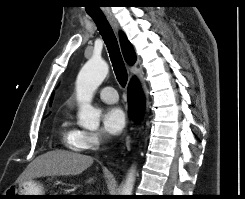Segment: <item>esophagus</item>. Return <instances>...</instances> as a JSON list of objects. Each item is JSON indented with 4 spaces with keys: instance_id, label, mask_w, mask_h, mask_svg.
Returning a JSON list of instances; mask_svg holds the SVG:
<instances>
[{
    "instance_id": "1",
    "label": "esophagus",
    "mask_w": 245,
    "mask_h": 199,
    "mask_svg": "<svg viewBox=\"0 0 245 199\" xmlns=\"http://www.w3.org/2000/svg\"><path fill=\"white\" fill-rule=\"evenodd\" d=\"M106 17L108 19V21L110 22V24L112 25V27L117 30L118 29V24L116 19L114 18V16L111 13H107Z\"/></svg>"
}]
</instances>
